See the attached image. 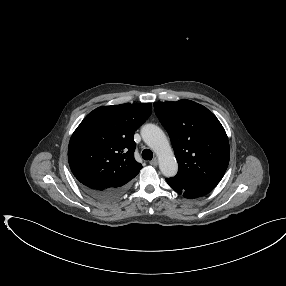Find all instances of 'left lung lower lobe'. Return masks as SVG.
<instances>
[{"mask_svg": "<svg viewBox=\"0 0 286 286\" xmlns=\"http://www.w3.org/2000/svg\"><path fill=\"white\" fill-rule=\"evenodd\" d=\"M167 183L170 185L172 189H174L177 193L182 194L185 198H197L208 194L211 189L186 184L183 181L174 179V178H167Z\"/></svg>", "mask_w": 286, "mask_h": 286, "instance_id": "0a47b994", "label": "left lung lower lobe"}]
</instances>
